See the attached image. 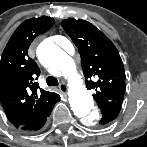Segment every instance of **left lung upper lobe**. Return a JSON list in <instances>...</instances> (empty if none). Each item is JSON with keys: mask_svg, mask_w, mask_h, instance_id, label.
<instances>
[{"mask_svg": "<svg viewBox=\"0 0 147 147\" xmlns=\"http://www.w3.org/2000/svg\"><path fill=\"white\" fill-rule=\"evenodd\" d=\"M62 26L78 47L86 86L101 110L121 107L125 92V71L117 48L93 24L65 19Z\"/></svg>", "mask_w": 147, "mask_h": 147, "instance_id": "left-lung-upper-lobe-1", "label": "left lung upper lobe"}]
</instances>
